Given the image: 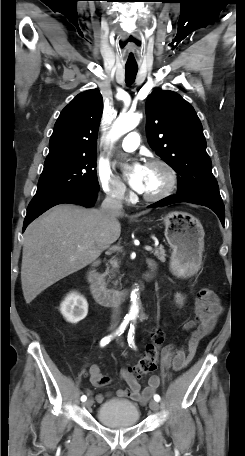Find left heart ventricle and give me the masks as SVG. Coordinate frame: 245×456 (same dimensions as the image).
I'll return each mask as SVG.
<instances>
[{
	"mask_svg": "<svg viewBox=\"0 0 245 456\" xmlns=\"http://www.w3.org/2000/svg\"><path fill=\"white\" fill-rule=\"evenodd\" d=\"M167 183V175L160 167H146L144 188L142 193L155 194L162 190Z\"/></svg>",
	"mask_w": 245,
	"mask_h": 456,
	"instance_id": "obj_1",
	"label": "left heart ventricle"
}]
</instances>
